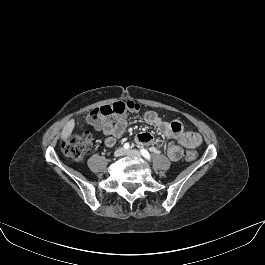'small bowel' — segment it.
Wrapping results in <instances>:
<instances>
[{"instance_id":"1","label":"small bowel","mask_w":265,"mask_h":265,"mask_svg":"<svg viewBox=\"0 0 265 265\" xmlns=\"http://www.w3.org/2000/svg\"><path fill=\"white\" fill-rule=\"evenodd\" d=\"M143 120L158 128L165 137L171 141L163 145L156 141L149 132L139 133L135 141L139 145H152L155 149L165 150L168 157L178 161L183 155L184 148H195L201 144V136L198 133L184 131L183 125L178 120L165 121L155 111L149 110L143 114ZM128 126L126 117L108 119L101 125L95 126L105 136L104 143L107 147H113L117 139L125 132Z\"/></svg>"}]
</instances>
